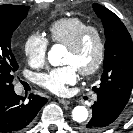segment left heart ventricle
<instances>
[{"instance_id":"1","label":"left heart ventricle","mask_w":133,"mask_h":133,"mask_svg":"<svg viewBox=\"0 0 133 133\" xmlns=\"http://www.w3.org/2000/svg\"><path fill=\"white\" fill-rule=\"evenodd\" d=\"M98 44L94 35L88 36L82 48L77 52L66 50L64 63L73 65L78 71L91 67L97 57Z\"/></svg>"}]
</instances>
